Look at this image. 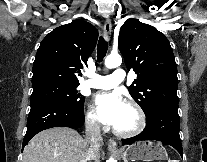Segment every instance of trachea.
Returning a JSON list of instances; mask_svg holds the SVG:
<instances>
[{
    "instance_id": "trachea-1",
    "label": "trachea",
    "mask_w": 207,
    "mask_h": 162,
    "mask_svg": "<svg viewBox=\"0 0 207 162\" xmlns=\"http://www.w3.org/2000/svg\"><path fill=\"white\" fill-rule=\"evenodd\" d=\"M107 49H108V43L101 36L99 38L98 47H97V58L99 62H101L103 58L105 57L107 53Z\"/></svg>"
}]
</instances>
